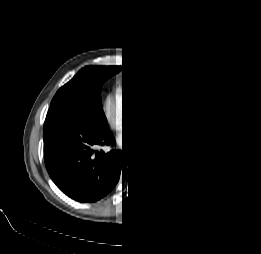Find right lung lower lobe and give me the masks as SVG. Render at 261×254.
Masks as SVG:
<instances>
[{"instance_id":"1","label":"right lung lower lobe","mask_w":261,"mask_h":254,"mask_svg":"<svg viewBox=\"0 0 261 254\" xmlns=\"http://www.w3.org/2000/svg\"><path fill=\"white\" fill-rule=\"evenodd\" d=\"M46 169L59 189L80 202L103 198L119 180L125 158L121 150H94L114 146L108 129H98L77 115L48 113L44 124Z\"/></svg>"}]
</instances>
